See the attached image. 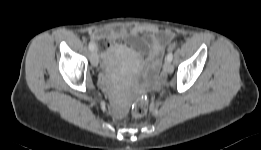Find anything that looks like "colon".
<instances>
[{
  "instance_id": "colon-1",
  "label": "colon",
  "mask_w": 261,
  "mask_h": 150,
  "mask_svg": "<svg viewBox=\"0 0 261 150\" xmlns=\"http://www.w3.org/2000/svg\"><path fill=\"white\" fill-rule=\"evenodd\" d=\"M132 115L136 118H142L146 116L148 112V97L143 94L140 95L133 103L131 108Z\"/></svg>"
}]
</instances>
